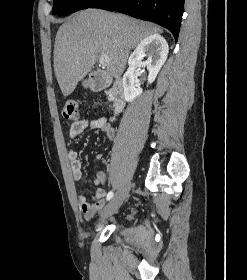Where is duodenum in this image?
Instances as JSON below:
<instances>
[{"mask_svg":"<svg viewBox=\"0 0 247 280\" xmlns=\"http://www.w3.org/2000/svg\"><path fill=\"white\" fill-rule=\"evenodd\" d=\"M110 86V96L115 113L121 112L125 106V90L122 79L111 80L104 73H96L90 83V87L95 91H100Z\"/></svg>","mask_w":247,"mask_h":280,"instance_id":"1","label":"duodenum"}]
</instances>
